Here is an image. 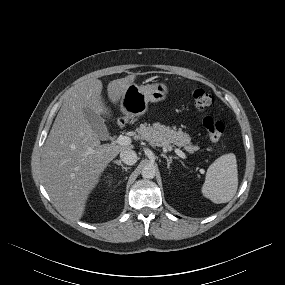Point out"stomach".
<instances>
[{"label":"stomach","instance_id":"0dacf381","mask_svg":"<svg viewBox=\"0 0 285 285\" xmlns=\"http://www.w3.org/2000/svg\"><path fill=\"white\" fill-rule=\"evenodd\" d=\"M167 95L168 87L163 83H153L145 86H138L132 83L125 90L121 98L120 107L125 115V119H132L144 114L149 102L164 101Z\"/></svg>","mask_w":285,"mask_h":285}]
</instances>
